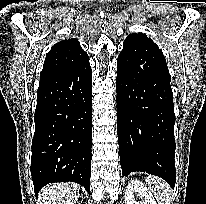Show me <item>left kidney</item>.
Instances as JSON below:
<instances>
[{
	"label": "left kidney",
	"mask_w": 206,
	"mask_h": 204,
	"mask_svg": "<svg viewBox=\"0 0 206 204\" xmlns=\"http://www.w3.org/2000/svg\"><path fill=\"white\" fill-rule=\"evenodd\" d=\"M134 193L138 195L139 201L134 199ZM124 198L125 204H156V201L149 189L136 179L128 182Z\"/></svg>",
	"instance_id": "obj_1"
}]
</instances>
